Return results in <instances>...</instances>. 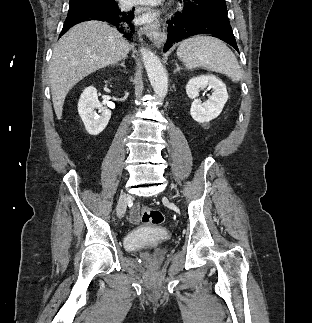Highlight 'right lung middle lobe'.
Here are the masks:
<instances>
[{
	"instance_id": "dd1d6c3e",
	"label": "right lung middle lobe",
	"mask_w": 312,
	"mask_h": 323,
	"mask_svg": "<svg viewBox=\"0 0 312 323\" xmlns=\"http://www.w3.org/2000/svg\"><path fill=\"white\" fill-rule=\"evenodd\" d=\"M107 1H114V0H70L69 2V11H72L76 8L80 7H88V6H93L97 5L100 3H104Z\"/></svg>"
}]
</instances>
